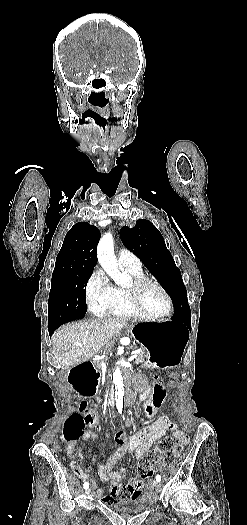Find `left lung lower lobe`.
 I'll use <instances>...</instances> for the list:
<instances>
[{
	"instance_id": "obj_1",
	"label": "left lung lower lobe",
	"mask_w": 247,
	"mask_h": 525,
	"mask_svg": "<svg viewBox=\"0 0 247 525\" xmlns=\"http://www.w3.org/2000/svg\"><path fill=\"white\" fill-rule=\"evenodd\" d=\"M173 319V322L175 323H184L186 326H188L189 328L191 327V314L190 313H183V314H179V315H174L172 317Z\"/></svg>"
}]
</instances>
